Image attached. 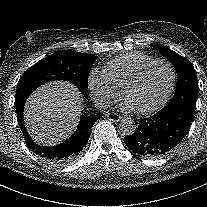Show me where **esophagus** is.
<instances>
[{"label": "esophagus", "instance_id": "esophagus-1", "mask_svg": "<svg viewBox=\"0 0 207 207\" xmlns=\"http://www.w3.org/2000/svg\"><path fill=\"white\" fill-rule=\"evenodd\" d=\"M107 117L111 120V121H119L121 119V116L119 114L116 113H108Z\"/></svg>", "mask_w": 207, "mask_h": 207}]
</instances>
